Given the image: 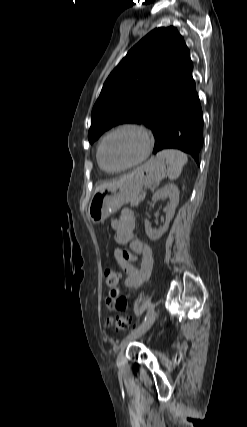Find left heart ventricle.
<instances>
[{
  "label": "left heart ventricle",
  "mask_w": 247,
  "mask_h": 427,
  "mask_svg": "<svg viewBox=\"0 0 247 427\" xmlns=\"http://www.w3.org/2000/svg\"><path fill=\"white\" fill-rule=\"evenodd\" d=\"M145 139L137 131L125 129L112 135L104 144L102 159L109 169H118L126 166L143 153Z\"/></svg>",
  "instance_id": "b2bd125f"
}]
</instances>
